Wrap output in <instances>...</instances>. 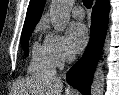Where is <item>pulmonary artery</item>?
Masks as SVG:
<instances>
[{
    "mask_svg": "<svg viewBox=\"0 0 119 95\" xmlns=\"http://www.w3.org/2000/svg\"><path fill=\"white\" fill-rule=\"evenodd\" d=\"M72 15L76 19H83L85 16L84 10L81 6H75L72 9Z\"/></svg>",
    "mask_w": 119,
    "mask_h": 95,
    "instance_id": "pulmonary-artery-1",
    "label": "pulmonary artery"
}]
</instances>
